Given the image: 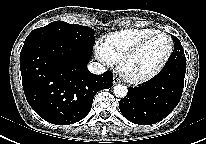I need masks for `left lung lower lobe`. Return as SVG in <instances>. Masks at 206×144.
Listing matches in <instances>:
<instances>
[{"mask_svg": "<svg viewBox=\"0 0 206 144\" xmlns=\"http://www.w3.org/2000/svg\"><path fill=\"white\" fill-rule=\"evenodd\" d=\"M186 72L182 51H173L164 68L152 80L139 87H129L119 108L130 122L151 125L165 118L179 103Z\"/></svg>", "mask_w": 206, "mask_h": 144, "instance_id": "0a47b994", "label": "left lung lower lobe"}]
</instances>
